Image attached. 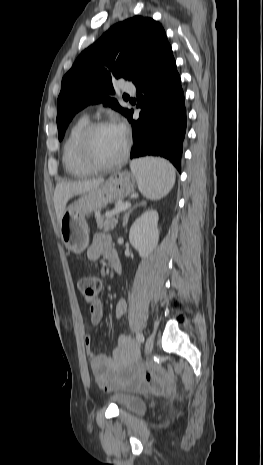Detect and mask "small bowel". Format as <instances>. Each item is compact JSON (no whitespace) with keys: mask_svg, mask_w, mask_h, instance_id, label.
Listing matches in <instances>:
<instances>
[{"mask_svg":"<svg viewBox=\"0 0 263 465\" xmlns=\"http://www.w3.org/2000/svg\"><path fill=\"white\" fill-rule=\"evenodd\" d=\"M116 252L111 237L107 234H96L87 250V258L96 262L104 257L109 260L111 253ZM127 310L126 301L121 298L115 305V317L120 319ZM90 322L98 325L104 315L103 305L96 300L89 307ZM118 345L109 355L105 351H95L92 345L91 335L85 336V346L90 360V368L97 383L105 391L119 388H128L137 391L152 390L161 392L168 383L167 376L159 369L145 370L137 367L135 361L138 351L132 340L124 335H118Z\"/></svg>","mask_w":263,"mask_h":465,"instance_id":"1","label":"small bowel"}]
</instances>
